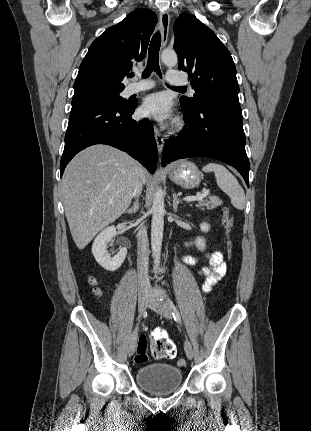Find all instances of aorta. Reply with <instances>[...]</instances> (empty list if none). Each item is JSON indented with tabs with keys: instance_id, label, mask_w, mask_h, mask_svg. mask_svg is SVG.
I'll return each mask as SVG.
<instances>
[{
	"instance_id": "762f6f07",
	"label": "aorta",
	"mask_w": 311,
	"mask_h": 431,
	"mask_svg": "<svg viewBox=\"0 0 311 431\" xmlns=\"http://www.w3.org/2000/svg\"><path fill=\"white\" fill-rule=\"evenodd\" d=\"M161 60L165 66L174 68L178 64V58L174 50H163ZM152 221H151V247L153 261L155 265L160 263V255L162 249L163 229H164V192L162 188H156L152 202Z\"/></svg>"
}]
</instances>
